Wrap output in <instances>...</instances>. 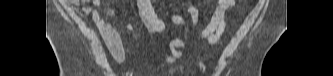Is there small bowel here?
Returning <instances> with one entry per match:
<instances>
[{"label":"small bowel","mask_w":333,"mask_h":76,"mask_svg":"<svg viewBox=\"0 0 333 76\" xmlns=\"http://www.w3.org/2000/svg\"><path fill=\"white\" fill-rule=\"evenodd\" d=\"M66 3L71 8H77L81 4H84L82 7V13L91 17L92 22L100 31L104 44L113 58L118 63H123L131 49L132 44H130L128 47H124L119 31L122 28L131 31L133 30V26L131 24L119 26L109 21L107 18L113 17L114 11L110 7L103 8L101 0H68ZM135 3L141 21L151 33H159L164 31V21L156 12L151 1L136 0ZM234 4V0L218 1L210 22L201 32V39L205 43L213 45L218 42L225 29L226 13L231 7L234 6ZM187 13L191 17L192 24L197 25L199 15L197 7L189 5L187 7ZM169 20L172 23L183 27L186 33H188V28L183 17L178 14H173L169 17ZM136 40L137 36L134 37V42ZM185 48L186 44L184 41L180 39L172 40L170 42V55L163 61L162 65H171L182 58L183 50Z\"/></svg>","instance_id":"1"}]
</instances>
